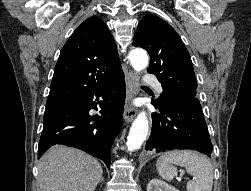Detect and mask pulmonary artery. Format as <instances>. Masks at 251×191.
Listing matches in <instances>:
<instances>
[{
	"label": "pulmonary artery",
	"mask_w": 251,
	"mask_h": 191,
	"mask_svg": "<svg viewBox=\"0 0 251 191\" xmlns=\"http://www.w3.org/2000/svg\"><path fill=\"white\" fill-rule=\"evenodd\" d=\"M146 77H142L141 78V81L142 82H149V86H154V88L159 92L161 93L163 90H162V87H161V84L157 81V77H155V73H146L145 75Z\"/></svg>",
	"instance_id": "obj_1"
}]
</instances>
